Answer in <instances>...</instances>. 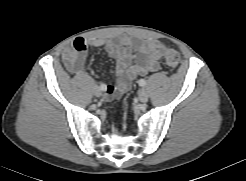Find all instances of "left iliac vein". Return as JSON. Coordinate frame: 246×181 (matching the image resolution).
<instances>
[{
  "mask_svg": "<svg viewBox=\"0 0 246 181\" xmlns=\"http://www.w3.org/2000/svg\"><path fill=\"white\" fill-rule=\"evenodd\" d=\"M139 100L142 103H146L148 101V93L145 89L140 90L139 92Z\"/></svg>",
  "mask_w": 246,
  "mask_h": 181,
  "instance_id": "4c4485c4",
  "label": "left iliac vein"
}]
</instances>
